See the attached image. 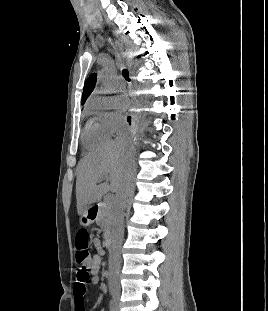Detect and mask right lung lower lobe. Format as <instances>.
I'll list each match as a JSON object with an SVG mask.
<instances>
[{"label":"right lung lower lobe","mask_w":268,"mask_h":311,"mask_svg":"<svg viewBox=\"0 0 268 311\" xmlns=\"http://www.w3.org/2000/svg\"><path fill=\"white\" fill-rule=\"evenodd\" d=\"M130 120H131V117L129 116V117H128V122H129V124H130Z\"/></svg>","instance_id":"1"}]
</instances>
